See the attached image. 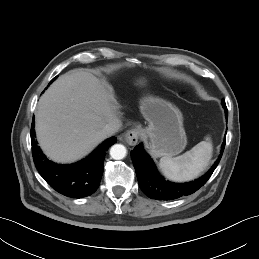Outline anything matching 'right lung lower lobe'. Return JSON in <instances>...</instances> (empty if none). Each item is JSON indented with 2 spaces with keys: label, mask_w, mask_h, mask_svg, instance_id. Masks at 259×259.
<instances>
[{
  "label": "right lung lower lobe",
  "mask_w": 259,
  "mask_h": 259,
  "mask_svg": "<svg viewBox=\"0 0 259 259\" xmlns=\"http://www.w3.org/2000/svg\"><path fill=\"white\" fill-rule=\"evenodd\" d=\"M111 137L84 160L72 165H58L46 158L35 140L34 120L31 125L32 155L36 169L58 193L72 198L86 197L100 185L105 151L116 143Z\"/></svg>",
  "instance_id": "right-lung-lower-lobe-1"
}]
</instances>
